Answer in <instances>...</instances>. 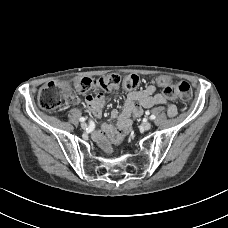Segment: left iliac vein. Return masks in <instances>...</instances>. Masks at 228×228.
Masks as SVG:
<instances>
[{
  "mask_svg": "<svg viewBox=\"0 0 228 228\" xmlns=\"http://www.w3.org/2000/svg\"><path fill=\"white\" fill-rule=\"evenodd\" d=\"M151 127H152V124H151L150 122H144V123H142V125H141V128H142L143 130H149V129H151Z\"/></svg>",
  "mask_w": 228,
  "mask_h": 228,
  "instance_id": "4c4485c4",
  "label": "left iliac vein"
}]
</instances>
